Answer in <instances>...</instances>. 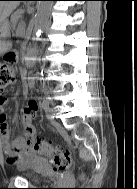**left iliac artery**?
<instances>
[{
  "instance_id": "1",
  "label": "left iliac artery",
  "mask_w": 137,
  "mask_h": 189,
  "mask_svg": "<svg viewBox=\"0 0 137 189\" xmlns=\"http://www.w3.org/2000/svg\"><path fill=\"white\" fill-rule=\"evenodd\" d=\"M47 106H49V101L48 100H44L43 107H47Z\"/></svg>"
}]
</instances>
